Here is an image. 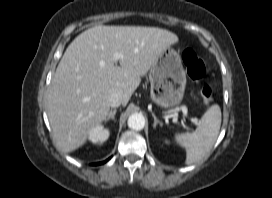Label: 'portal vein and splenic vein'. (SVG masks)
Here are the masks:
<instances>
[{"instance_id":"obj_1","label":"portal vein and splenic vein","mask_w":272,"mask_h":198,"mask_svg":"<svg viewBox=\"0 0 272 198\" xmlns=\"http://www.w3.org/2000/svg\"><path fill=\"white\" fill-rule=\"evenodd\" d=\"M119 57H120V55H118V54L115 55V59H118ZM177 110H182L183 113H184V115L187 116V109H186V107H181V108L175 109V111H177ZM174 121H177V117H174ZM191 121L193 123H195V124H199V121L196 118H191Z\"/></svg>"}]
</instances>
